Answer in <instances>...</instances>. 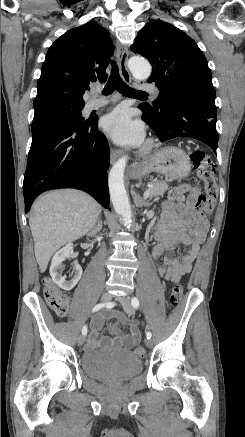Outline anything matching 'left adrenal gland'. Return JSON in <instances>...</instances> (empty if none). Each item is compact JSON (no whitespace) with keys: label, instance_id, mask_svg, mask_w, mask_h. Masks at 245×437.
Listing matches in <instances>:
<instances>
[{"label":"left adrenal gland","instance_id":"obj_1","mask_svg":"<svg viewBox=\"0 0 245 437\" xmlns=\"http://www.w3.org/2000/svg\"><path fill=\"white\" fill-rule=\"evenodd\" d=\"M131 194L134 200V203L136 205V207L142 208V207H149L150 204L148 203V201L143 200L140 195L135 192L133 189H131Z\"/></svg>","mask_w":245,"mask_h":437}]
</instances>
